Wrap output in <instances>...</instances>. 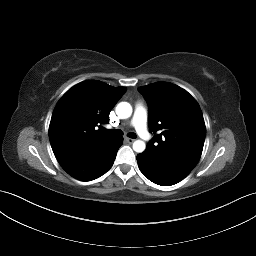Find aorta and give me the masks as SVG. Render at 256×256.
Here are the masks:
<instances>
[{"label":"aorta","mask_w":256,"mask_h":256,"mask_svg":"<svg viewBox=\"0 0 256 256\" xmlns=\"http://www.w3.org/2000/svg\"><path fill=\"white\" fill-rule=\"evenodd\" d=\"M116 114L121 119L129 118L132 114V107L128 102H120L116 106ZM146 144L142 140H136L133 143V150L137 153H141L145 150Z\"/></svg>","instance_id":"1"}]
</instances>
